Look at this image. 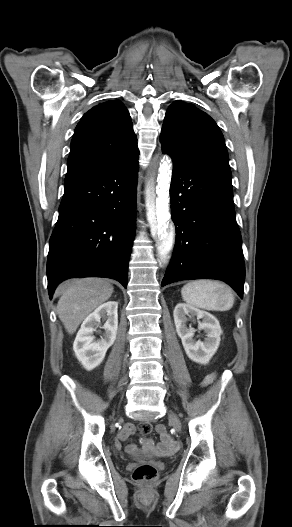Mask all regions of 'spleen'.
<instances>
[{
    "label": "spleen",
    "mask_w": 292,
    "mask_h": 527,
    "mask_svg": "<svg viewBox=\"0 0 292 527\" xmlns=\"http://www.w3.org/2000/svg\"><path fill=\"white\" fill-rule=\"evenodd\" d=\"M183 300L191 306L212 311H227L234 304L232 290L223 283L195 280L181 289Z\"/></svg>",
    "instance_id": "obj_1"
}]
</instances>
